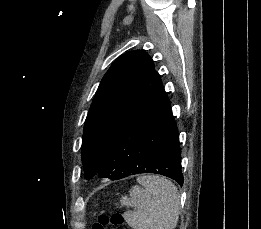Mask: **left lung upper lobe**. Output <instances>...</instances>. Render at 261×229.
Returning <instances> with one entry per match:
<instances>
[{"label":"left lung upper lobe","mask_w":261,"mask_h":229,"mask_svg":"<svg viewBox=\"0 0 261 229\" xmlns=\"http://www.w3.org/2000/svg\"><path fill=\"white\" fill-rule=\"evenodd\" d=\"M162 87L152 59L144 51L128 52L111 65L84 125L82 160L86 179L97 173L112 144Z\"/></svg>","instance_id":"5c2ea615"}]
</instances>
